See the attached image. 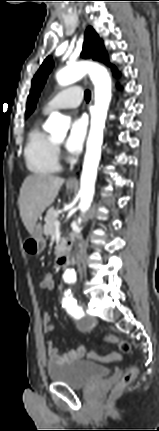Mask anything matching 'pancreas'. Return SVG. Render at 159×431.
<instances>
[{"label":"pancreas","instance_id":"pancreas-1","mask_svg":"<svg viewBox=\"0 0 159 431\" xmlns=\"http://www.w3.org/2000/svg\"><path fill=\"white\" fill-rule=\"evenodd\" d=\"M58 219V213L57 210L53 207L48 209L46 216H45V226H44V233L47 237L52 236L53 232L55 230V221ZM64 242V239H62V243ZM61 245H58L57 248H60Z\"/></svg>","mask_w":159,"mask_h":431}]
</instances>
